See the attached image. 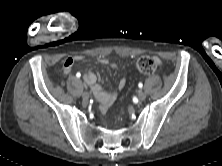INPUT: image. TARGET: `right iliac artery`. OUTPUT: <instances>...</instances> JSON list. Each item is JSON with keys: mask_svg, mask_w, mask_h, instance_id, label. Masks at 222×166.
Returning <instances> with one entry per match:
<instances>
[{"mask_svg": "<svg viewBox=\"0 0 222 166\" xmlns=\"http://www.w3.org/2000/svg\"><path fill=\"white\" fill-rule=\"evenodd\" d=\"M76 76L79 78V77L81 76V74H80V73H77Z\"/></svg>", "mask_w": 222, "mask_h": 166, "instance_id": "obj_1", "label": "right iliac artery"}]
</instances>
